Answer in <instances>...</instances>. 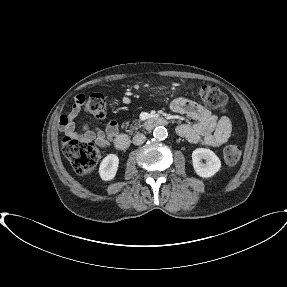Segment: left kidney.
Listing matches in <instances>:
<instances>
[{"mask_svg": "<svg viewBox=\"0 0 287 287\" xmlns=\"http://www.w3.org/2000/svg\"><path fill=\"white\" fill-rule=\"evenodd\" d=\"M202 159L206 163H203ZM192 162L195 172L204 178L212 177L221 167V161L218 156L212 150L206 148L195 149L192 153Z\"/></svg>", "mask_w": 287, "mask_h": 287, "instance_id": "5707ae66", "label": "left kidney"}]
</instances>
